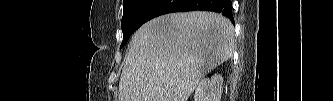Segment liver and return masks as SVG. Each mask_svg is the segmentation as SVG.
<instances>
[{
  "label": "liver",
  "instance_id": "6515ba94",
  "mask_svg": "<svg viewBox=\"0 0 333 101\" xmlns=\"http://www.w3.org/2000/svg\"><path fill=\"white\" fill-rule=\"evenodd\" d=\"M233 49L234 27L221 14L192 11L156 17L132 37L119 101H187Z\"/></svg>",
  "mask_w": 333,
  "mask_h": 101
}]
</instances>
